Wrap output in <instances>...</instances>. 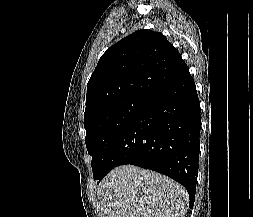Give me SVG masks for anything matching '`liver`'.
<instances>
[{"mask_svg":"<svg viewBox=\"0 0 253 217\" xmlns=\"http://www.w3.org/2000/svg\"><path fill=\"white\" fill-rule=\"evenodd\" d=\"M96 192L99 217H184L189 201L174 180L133 165L113 169Z\"/></svg>","mask_w":253,"mask_h":217,"instance_id":"liver-1","label":"liver"}]
</instances>
